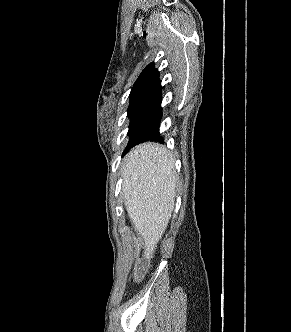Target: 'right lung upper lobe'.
<instances>
[{
    "label": "right lung upper lobe",
    "instance_id": "1",
    "mask_svg": "<svg viewBox=\"0 0 291 332\" xmlns=\"http://www.w3.org/2000/svg\"><path fill=\"white\" fill-rule=\"evenodd\" d=\"M161 89L159 71L154 68V63H150L141 72L133 85L130 93L131 98L146 97Z\"/></svg>",
    "mask_w": 291,
    "mask_h": 332
}]
</instances>
